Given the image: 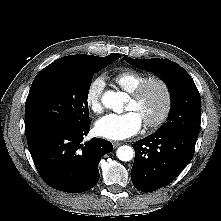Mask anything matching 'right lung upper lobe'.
<instances>
[{
	"mask_svg": "<svg viewBox=\"0 0 221 221\" xmlns=\"http://www.w3.org/2000/svg\"><path fill=\"white\" fill-rule=\"evenodd\" d=\"M92 55H85V54H79V55H70L62 57L55 62H65V63H71V64H81L88 62L92 59Z\"/></svg>",
	"mask_w": 221,
	"mask_h": 221,
	"instance_id": "1",
	"label": "right lung upper lobe"
}]
</instances>
